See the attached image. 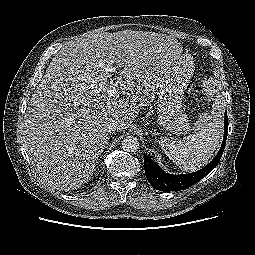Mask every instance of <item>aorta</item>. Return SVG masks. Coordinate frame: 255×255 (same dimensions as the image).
Returning a JSON list of instances; mask_svg holds the SVG:
<instances>
[{
    "label": "aorta",
    "instance_id": "1",
    "mask_svg": "<svg viewBox=\"0 0 255 255\" xmlns=\"http://www.w3.org/2000/svg\"><path fill=\"white\" fill-rule=\"evenodd\" d=\"M139 148L138 139L134 136H127L122 141V149L126 152L134 153Z\"/></svg>",
    "mask_w": 255,
    "mask_h": 255
}]
</instances>
